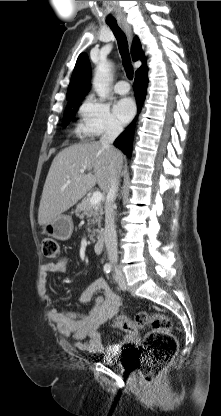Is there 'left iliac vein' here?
Instances as JSON below:
<instances>
[{
    "mask_svg": "<svg viewBox=\"0 0 221 416\" xmlns=\"http://www.w3.org/2000/svg\"><path fill=\"white\" fill-rule=\"evenodd\" d=\"M118 285L120 289L125 290L126 289V281L123 274H120L118 277Z\"/></svg>",
    "mask_w": 221,
    "mask_h": 416,
    "instance_id": "left-iliac-vein-1",
    "label": "left iliac vein"
}]
</instances>
